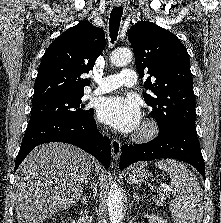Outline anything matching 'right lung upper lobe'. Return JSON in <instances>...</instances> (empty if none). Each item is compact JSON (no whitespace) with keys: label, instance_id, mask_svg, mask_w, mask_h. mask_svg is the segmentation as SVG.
Listing matches in <instances>:
<instances>
[{"label":"right lung upper lobe","instance_id":"obj_1","mask_svg":"<svg viewBox=\"0 0 221 223\" xmlns=\"http://www.w3.org/2000/svg\"><path fill=\"white\" fill-rule=\"evenodd\" d=\"M105 47L104 32L89 22L69 28L46 50L34 85L32 102L84 93L88 73Z\"/></svg>","mask_w":221,"mask_h":223}]
</instances>
